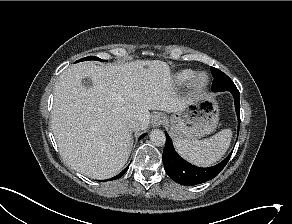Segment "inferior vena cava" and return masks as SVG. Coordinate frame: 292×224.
Masks as SVG:
<instances>
[{
  "instance_id": "inferior-vena-cava-1",
  "label": "inferior vena cava",
  "mask_w": 292,
  "mask_h": 224,
  "mask_svg": "<svg viewBox=\"0 0 292 224\" xmlns=\"http://www.w3.org/2000/svg\"><path fill=\"white\" fill-rule=\"evenodd\" d=\"M126 127L128 128V130L130 132L138 131L140 129V125H139L138 121H136L134 119L127 120Z\"/></svg>"
}]
</instances>
